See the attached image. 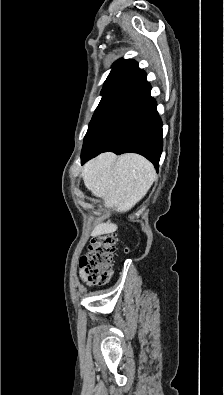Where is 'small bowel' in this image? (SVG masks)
<instances>
[{
    "mask_svg": "<svg viewBox=\"0 0 224 395\" xmlns=\"http://www.w3.org/2000/svg\"><path fill=\"white\" fill-rule=\"evenodd\" d=\"M78 274H79V277H80L82 282L86 283L89 286L94 284V282L89 279V277L87 276V274H86V272L84 271L83 268L79 269Z\"/></svg>",
    "mask_w": 224,
    "mask_h": 395,
    "instance_id": "1",
    "label": "small bowel"
}]
</instances>
